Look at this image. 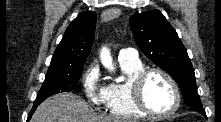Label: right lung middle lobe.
Wrapping results in <instances>:
<instances>
[{"label":"right lung middle lobe","mask_w":221,"mask_h":122,"mask_svg":"<svg viewBox=\"0 0 221 122\" xmlns=\"http://www.w3.org/2000/svg\"><path fill=\"white\" fill-rule=\"evenodd\" d=\"M83 67L84 64L50 65L34 103H41L46 98L60 92H80L78 80L81 77Z\"/></svg>","instance_id":"1"}]
</instances>
